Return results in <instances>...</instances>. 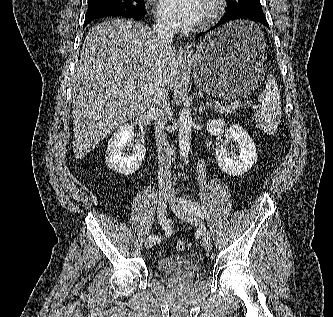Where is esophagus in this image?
Listing matches in <instances>:
<instances>
[{"instance_id": "34e87169", "label": "esophagus", "mask_w": 333, "mask_h": 317, "mask_svg": "<svg viewBox=\"0 0 333 317\" xmlns=\"http://www.w3.org/2000/svg\"><path fill=\"white\" fill-rule=\"evenodd\" d=\"M190 54V50L187 47L180 46L177 50V57L182 60L188 59Z\"/></svg>"}]
</instances>
